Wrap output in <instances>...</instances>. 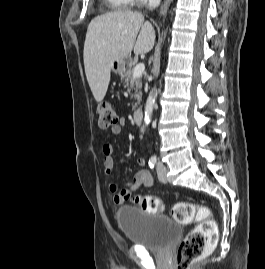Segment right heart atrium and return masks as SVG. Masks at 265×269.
I'll use <instances>...</instances> for the list:
<instances>
[{"mask_svg": "<svg viewBox=\"0 0 265 269\" xmlns=\"http://www.w3.org/2000/svg\"><path fill=\"white\" fill-rule=\"evenodd\" d=\"M145 1H150V0H134V2H137V3H142V2H145Z\"/></svg>", "mask_w": 265, "mask_h": 269, "instance_id": "right-heart-atrium-1", "label": "right heart atrium"}]
</instances>
